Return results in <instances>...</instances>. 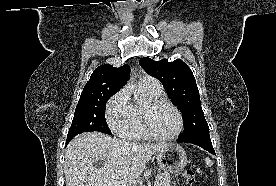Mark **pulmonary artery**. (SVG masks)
Wrapping results in <instances>:
<instances>
[{"label": "pulmonary artery", "instance_id": "obj_1", "mask_svg": "<svg viewBox=\"0 0 276 186\" xmlns=\"http://www.w3.org/2000/svg\"><path fill=\"white\" fill-rule=\"evenodd\" d=\"M141 83H143L144 85H146L152 89L161 90V85L158 82V80L151 76H144L141 80Z\"/></svg>", "mask_w": 276, "mask_h": 186}]
</instances>
